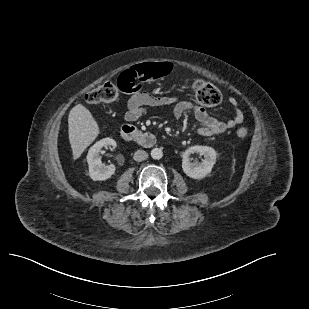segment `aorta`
Listing matches in <instances>:
<instances>
[{"instance_id":"1","label":"aorta","mask_w":309,"mask_h":309,"mask_svg":"<svg viewBox=\"0 0 309 309\" xmlns=\"http://www.w3.org/2000/svg\"><path fill=\"white\" fill-rule=\"evenodd\" d=\"M151 157L155 160H159L163 157V152L161 148H153L151 150Z\"/></svg>"}]
</instances>
